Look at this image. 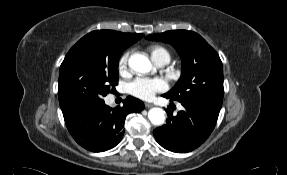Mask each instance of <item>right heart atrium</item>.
I'll return each instance as SVG.
<instances>
[{
  "label": "right heart atrium",
  "instance_id": "right-heart-atrium-1",
  "mask_svg": "<svg viewBox=\"0 0 287 175\" xmlns=\"http://www.w3.org/2000/svg\"><path fill=\"white\" fill-rule=\"evenodd\" d=\"M129 52H125L121 55L118 61V69L120 73H124L127 71L128 68V60H129Z\"/></svg>",
  "mask_w": 287,
  "mask_h": 175
}]
</instances>
